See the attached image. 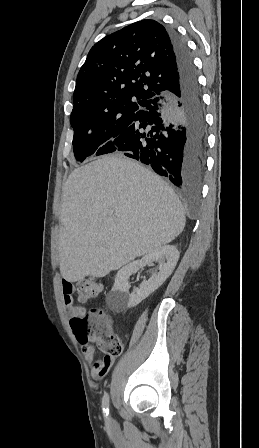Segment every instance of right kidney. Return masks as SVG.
<instances>
[{
	"mask_svg": "<svg viewBox=\"0 0 259 448\" xmlns=\"http://www.w3.org/2000/svg\"><path fill=\"white\" fill-rule=\"evenodd\" d=\"M166 260V262H165ZM179 260V252L176 246H161L151 254L143 256L142 260L131 262L127 266H123L116 274L115 284L106 296V304L112 312H125L127 308H134L140 304L142 300L148 298L149 294L158 290L165 280L171 276L177 262ZM151 262H159L160 272L153 274L150 280H143L139 288H135L132 294H129V278L132 274H136L140 268H144Z\"/></svg>",
	"mask_w": 259,
	"mask_h": 448,
	"instance_id": "ca27d5eb",
	"label": "right kidney"
}]
</instances>
